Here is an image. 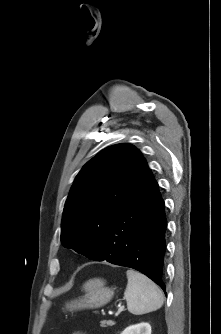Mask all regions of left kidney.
I'll list each match as a JSON object with an SVG mask.
<instances>
[{
	"label": "left kidney",
	"instance_id": "1",
	"mask_svg": "<svg viewBox=\"0 0 221 334\" xmlns=\"http://www.w3.org/2000/svg\"><path fill=\"white\" fill-rule=\"evenodd\" d=\"M121 334H151V326L149 323H139L127 327Z\"/></svg>",
	"mask_w": 221,
	"mask_h": 334
}]
</instances>
